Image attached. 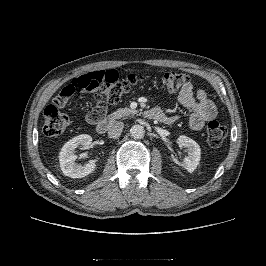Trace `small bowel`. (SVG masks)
<instances>
[{
  "label": "small bowel",
  "mask_w": 266,
  "mask_h": 266,
  "mask_svg": "<svg viewBox=\"0 0 266 266\" xmlns=\"http://www.w3.org/2000/svg\"><path fill=\"white\" fill-rule=\"evenodd\" d=\"M179 103L191 111L189 117V126L193 130H200L205 123L216 116V107L214 103L207 98L203 89H195L192 84L184 86L178 94ZM104 112L105 107L101 101H97L93 110ZM178 118L176 116L166 117L164 122L174 123ZM90 121V120H89Z\"/></svg>",
  "instance_id": "c3829d8e"
}]
</instances>
